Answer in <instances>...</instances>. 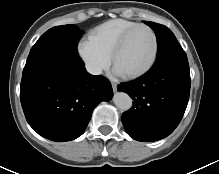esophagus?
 Returning a JSON list of instances; mask_svg holds the SVG:
<instances>
[{
	"instance_id": "1",
	"label": "esophagus",
	"mask_w": 219,
	"mask_h": 174,
	"mask_svg": "<svg viewBox=\"0 0 219 174\" xmlns=\"http://www.w3.org/2000/svg\"><path fill=\"white\" fill-rule=\"evenodd\" d=\"M112 88H113V91L117 90V84L114 81H112Z\"/></svg>"
}]
</instances>
